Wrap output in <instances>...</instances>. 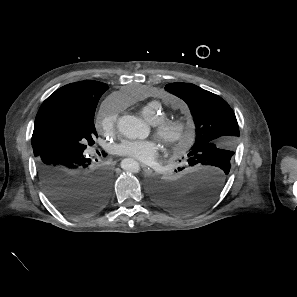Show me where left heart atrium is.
Masks as SVG:
<instances>
[{
    "mask_svg": "<svg viewBox=\"0 0 297 297\" xmlns=\"http://www.w3.org/2000/svg\"><path fill=\"white\" fill-rule=\"evenodd\" d=\"M160 146L155 140L124 139L115 147L117 154L133 158L141 163L153 162L159 154Z\"/></svg>",
    "mask_w": 297,
    "mask_h": 297,
    "instance_id": "1",
    "label": "left heart atrium"
}]
</instances>
